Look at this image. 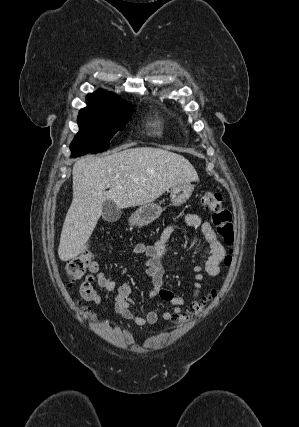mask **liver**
Returning a JSON list of instances; mask_svg holds the SVG:
<instances>
[{
	"label": "liver",
	"instance_id": "obj_1",
	"mask_svg": "<svg viewBox=\"0 0 299 427\" xmlns=\"http://www.w3.org/2000/svg\"><path fill=\"white\" fill-rule=\"evenodd\" d=\"M72 175L73 199L58 247L62 261L85 252L104 202L110 200L119 209L140 206L177 184L198 180L196 170L182 155L151 147L125 149L102 158H80L73 165Z\"/></svg>",
	"mask_w": 299,
	"mask_h": 427
}]
</instances>
